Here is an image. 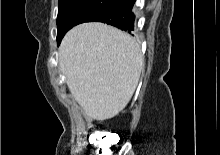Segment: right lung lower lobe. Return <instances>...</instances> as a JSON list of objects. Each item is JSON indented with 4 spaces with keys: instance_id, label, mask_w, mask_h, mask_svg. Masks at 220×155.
Returning <instances> with one entry per match:
<instances>
[{
    "instance_id": "1",
    "label": "right lung lower lobe",
    "mask_w": 220,
    "mask_h": 155,
    "mask_svg": "<svg viewBox=\"0 0 220 155\" xmlns=\"http://www.w3.org/2000/svg\"><path fill=\"white\" fill-rule=\"evenodd\" d=\"M134 3L135 0H122L118 5L93 16L87 22H103L130 32L134 30Z\"/></svg>"
}]
</instances>
